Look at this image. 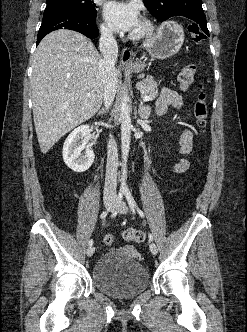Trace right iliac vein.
Masks as SVG:
<instances>
[{
	"label": "right iliac vein",
	"instance_id": "obj_1",
	"mask_svg": "<svg viewBox=\"0 0 247 332\" xmlns=\"http://www.w3.org/2000/svg\"><path fill=\"white\" fill-rule=\"evenodd\" d=\"M104 205H105V208L110 211L114 207V201L112 199H106L104 201ZM94 252H95V248L91 246L87 249L86 253H87V256L91 257L94 254Z\"/></svg>",
	"mask_w": 247,
	"mask_h": 332
}]
</instances>
